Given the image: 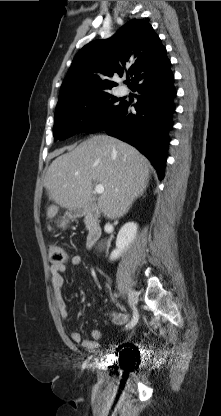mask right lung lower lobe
I'll return each instance as SVG.
<instances>
[{
	"label": "right lung lower lobe",
	"instance_id": "obj_1",
	"mask_svg": "<svg viewBox=\"0 0 221 416\" xmlns=\"http://www.w3.org/2000/svg\"><path fill=\"white\" fill-rule=\"evenodd\" d=\"M173 74L168 70L162 75H151L131 87L139 93L138 101L131 112L129 103L121 101L119 109L110 121L98 131L119 138L144 154L164 178V167L169 145V130L173 126L172 114L176 95Z\"/></svg>",
	"mask_w": 221,
	"mask_h": 416
}]
</instances>
